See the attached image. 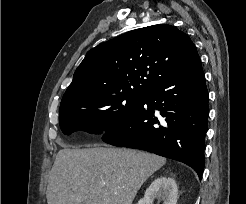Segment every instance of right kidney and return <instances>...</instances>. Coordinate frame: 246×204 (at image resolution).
I'll return each instance as SVG.
<instances>
[{
    "instance_id": "ca27d5eb",
    "label": "right kidney",
    "mask_w": 246,
    "mask_h": 204,
    "mask_svg": "<svg viewBox=\"0 0 246 204\" xmlns=\"http://www.w3.org/2000/svg\"><path fill=\"white\" fill-rule=\"evenodd\" d=\"M178 187L173 178L161 176L155 179L146 189L144 197L137 204H153L160 199L163 204H176Z\"/></svg>"
}]
</instances>
